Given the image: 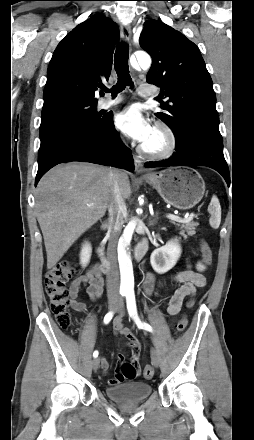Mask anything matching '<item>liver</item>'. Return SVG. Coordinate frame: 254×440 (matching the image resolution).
I'll use <instances>...</instances> for the list:
<instances>
[{
	"label": "liver",
	"instance_id": "1",
	"mask_svg": "<svg viewBox=\"0 0 254 440\" xmlns=\"http://www.w3.org/2000/svg\"><path fill=\"white\" fill-rule=\"evenodd\" d=\"M118 171L122 196L128 199L131 196L128 175ZM109 172L107 167L74 162L58 165L41 178L36 188L35 207L48 269L105 215L111 196Z\"/></svg>",
	"mask_w": 254,
	"mask_h": 440
}]
</instances>
